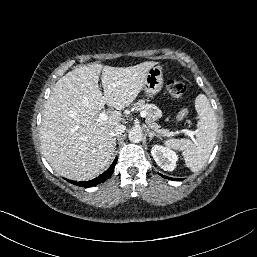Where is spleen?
Masks as SVG:
<instances>
[{"label":"spleen","instance_id":"obj_1","mask_svg":"<svg viewBox=\"0 0 257 257\" xmlns=\"http://www.w3.org/2000/svg\"><path fill=\"white\" fill-rule=\"evenodd\" d=\"M195 108L199 116L196 140L169 139L165 141L168 148L182 151L185 163L192 172L200 170L207 162L217 135V118L204 94H199L195 100Z\"/></svg>","mask_w":257,"mask_h":257}]
</instances>
